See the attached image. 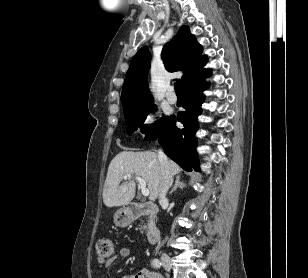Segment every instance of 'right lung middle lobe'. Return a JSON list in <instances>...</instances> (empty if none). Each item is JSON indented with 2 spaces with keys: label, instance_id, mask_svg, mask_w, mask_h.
<instances>
[{
  "label": "right lung middle lobe",
  "instance_id": "right-lung-middle-lobe-1",
  "mask_svg": "<svg viewBox=\"0 0 308 278\" xmlns=\"http://www.w3.org/2000/svg\"><path fill=\"white\" fill-rule=\"evenodd\" d=\"M155 106L152 104L133 108L124 112L126 124L128 126L129 134H132L137 128H140V131L145 134L146 140H154L165 128L170 117H163L160 120L156 121L149 127L143 125L149 112L154 111Z\"/></svg>",
  "mask_w": 308,
  "mask_h": 278
}]
</instances>
